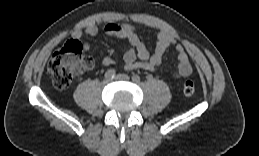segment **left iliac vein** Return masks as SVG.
Returning a JSON list of instances; mask_svg holds the SVG:
<instances>
[{
    "mask_svg": "<svg viewBox=\"0 0 259 156\" xmlns=\"http://www.w3.org/2000/svg\"><path fill=\"white\" fill-rule=\"evenodd\" d=\"M116 79L117 80H125V81H128L129 80V76L128 75H125V74H118L116 76Z\"/></svg>",
    "mask_w": 259,
    "mask_h": 156,
    "instance_id": "obj_1",
    "label": "left iliac vein"
}]
</instances>
